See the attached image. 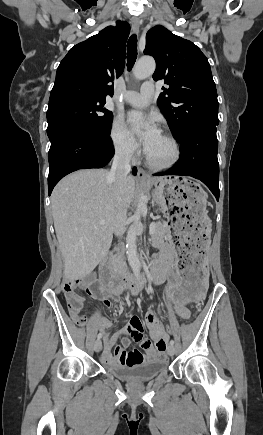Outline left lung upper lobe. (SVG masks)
<instances>
[{"label":"left lung upper lobe","mask_w":263,"mask_h":435,"mask_svg":"<svg viewBox=\"0 0 263 435\" xmlns=\"http://www.w3.org/2000/svg\"><path fill=\"white\" fill-rule=\"evenodd\" d=\"M144 54L156 60L155 81L167 88L157 104L171 132L179 141L186 133L215 128L219 123L216 86L206 56L191 41L172 34L161 25L146 35Z\"/></svg>","instance_id":"5c2ea615"}]
</instances>
